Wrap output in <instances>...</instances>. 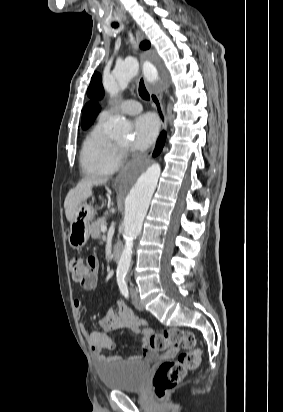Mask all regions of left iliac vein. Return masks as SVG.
<instances>
[{"label": "left iliac vein", "instance_id": "obj_1", "mask_svg": "<svg viewBox=\"0 0 283 412\" xmlns=\"http://www.w3.org/2000/svg\"><path fill=\"white\" fill-rule=\"evenodd\" d=\"M130 293H131L132 302H133L134 306H135L138 310H143L144 307H143V305H142V303H141V300H140V298H139L137 289H136V288H131Z\"/></svg>", "mask_w": 283, "mask_h": 412}]
</instances>
